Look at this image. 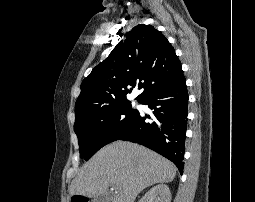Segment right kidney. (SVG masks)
<instances>
[{
  "label": "right kidney",
  "instance_id": "ca27d5eb",
  "mask_svg": "<svg viewBox=\"0 0 255 202\" xmlns=\"http://www.w3.org/2000/svg\"><path fill=\"white\" fill-rule=\"evenodd\" d=\"M139 202H171V192L165 184L152 187Z\"/></svg>",
  "mask_w": 255,
  "mask_h": 202
}]
</instances>
